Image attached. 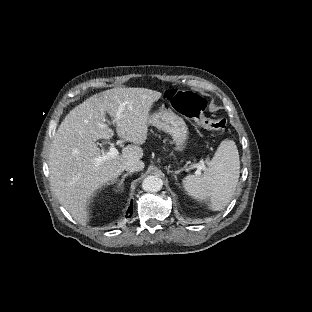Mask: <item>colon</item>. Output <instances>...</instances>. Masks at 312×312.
Wrapping results in <instances>:
<instances>
[{"mask_svg":"<svg viewBox=\"0 0 312 312\" xmlns=\"http://www.w3.org/2000/svg\"><path fill=\"white\" fill-rule=\"evenodd\" d=\"M168 103L174 110L192 118L204 129L224 131L227 128V122L225 119H211L204 116L207 104L204 98L197 93L170 90Z\"/></svg>","mask_w":312,"mask_h":312,"instance_id":"obj_1","label":"colon"}]
</instances>
